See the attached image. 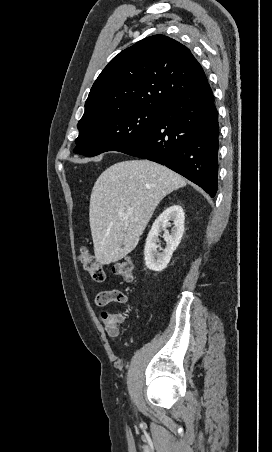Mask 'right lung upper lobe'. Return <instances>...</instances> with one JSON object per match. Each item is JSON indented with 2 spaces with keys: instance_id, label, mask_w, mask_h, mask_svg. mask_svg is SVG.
I'll return each instance as SVG.
<instances>
[{
  "instance_id": "1",
  "label": "right lung upper lobe",
  "mask_w": 272,
  "mask_h": 452,
  "mask_svg": "<svg viewBox=\"0 0 272 452\" xmlns=\"http://www.w3.org/2000/svg\"><path fill=\"white\" fill-rule=\"evenodd\" d=\"M207 82L187 47L164 35L150 36L108 63L91 88L79 122L137 107L164 109Z\"/></svg>"
}]
</instances>
